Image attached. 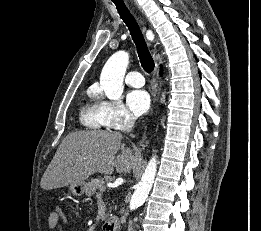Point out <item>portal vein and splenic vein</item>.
Returning <instances> with one entry per match:
<instances>
[{
    "label": "portal vein and splenic vein",
    "instance_id": "18ae733b",
    "mask_svg": "<svg viewBox=\"0 0 261 231\" xmlns=\"http://www.w3.org/2000/svg\"><path fill=\"white\" fill-rule=\"evenodd\" d=\"M105 190V188H100V192H103Z\"/></svg>",
    "mask_w": 261,
    "mask_h": 231
}]
</instances>
